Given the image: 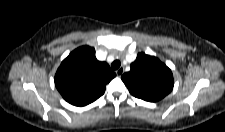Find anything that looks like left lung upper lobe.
I'll use <instances>...</instances> for the list:
<instances>
[{"label": "left lung upper lobe", "instance_id": "obj_1", "mask_svg": "<svg viewBox=\"0 0 225 132\" xmlns=\"http://www.w3.org/2000/svg\"><path fill=\"white\" fill-rule=\"evenodd\" d=\"M130 67L121 79L136 98L156 102L172 91V72L158 58L139 53Z\"/></svg>", "mask_w": 225, "mask_h": 132}]
</instances>
